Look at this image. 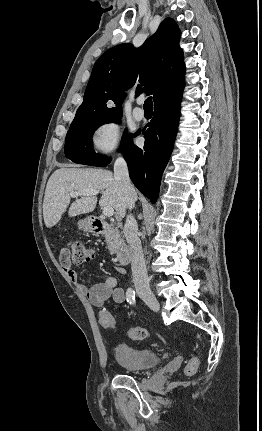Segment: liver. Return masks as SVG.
I'll use <instances>...</instances> for the list:
<instances>
[{
  "instance_id": "6515ba94",
  "label": "liver",
  "mask_w": 262,
  "mask_h": 431,
  "mask_svg": "<svg viewBox=\"0 0 262 431\" xmlns=\"http://www.w3.org/2000/svg\"><path fill=\"white\" fill-rule=\"evenodd\" d=\"M87 190L102 191L99 201L100 207H112L119 218L125 216L128 208V196L121 183L115 179L110 171L60 168L50 176L45 190L43 217L46 227L51 228L59 222L70 204L72 191L83 192ZM133 197L135 200L137 199L135 190ZM96 204V196H83L71 203L68 214L70 217H75L92 212Z\"/></svg>"
}]
</instances>
